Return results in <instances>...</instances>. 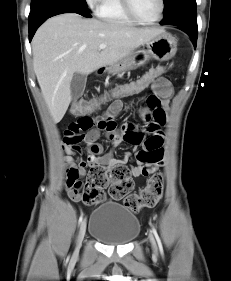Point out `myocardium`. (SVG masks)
<instances>
[{"mask_svg": "<svg viewBox=\"0 0 231 281\" xmlns=\"http://www.w3.org/2000/svg\"><path fill=\"white\" fill-rule=\"evenodd\" d=\"M160 2V10H159V14L156 18L152 19V20H144L142 18H140L132 5V1L131 0H121V4L122 7L125 11V13L135 22L140 23V24H144V25H153L156 24L157 22H159L164 15V11H165V1L164 0H159Z\"/></svg>", "mask_w": 231, "mask_h": 281, "instance_id": "1", "label": "myocardium"}]
</instances>
